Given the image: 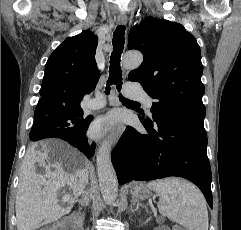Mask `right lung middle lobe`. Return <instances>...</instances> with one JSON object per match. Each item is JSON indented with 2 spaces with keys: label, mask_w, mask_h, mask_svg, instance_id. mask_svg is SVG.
I'll return each mask as SVG.
<instances>
[{
  "label": "right lung middle lobe",
  "mask_w": 241,
  "mask_h": 230,
  "mask_svg": "<svg viewBox=\"0 0 241 230\" xmlns=\"http://www.w3.org/2000/svg\"><path fill=\"white\" fill-rule=\"evenodd\" d=\"M90 118L83 116L80 106L53 108L34 115V123L41 126V133H30L32 141L41 140L51 133H72L80 132L89 122Z\"/></svg>",
  "instance_id": "1"
}]
</instances>
